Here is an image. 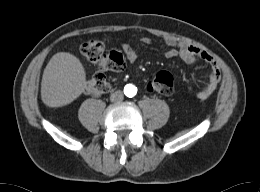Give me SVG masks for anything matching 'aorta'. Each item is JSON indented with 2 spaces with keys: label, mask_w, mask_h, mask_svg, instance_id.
<instances>
[{
  "label": "aorta",
  "mask_w": 260,
  "mask_h": 192,
  "mask_svg": "<svg viewBox=\"0 0 260 192\" xmlns=\"http://www.w3.org/2000/svg\"><path fill=\"white\" fill-rule=\"evenodd\" d=\"M124 92L128 97H133L137 92V88L132 84H128L125 86Z\"/></svg>",
  "instance_id": "762f6f07"
}]
</instances>
